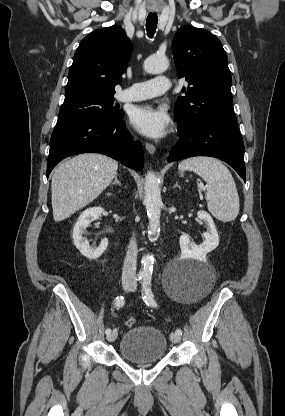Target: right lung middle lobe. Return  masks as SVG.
I'll return each mask as SVG.
<instances>
[{
	"label": "right lung middle lobe",
	"instance_id": "1",
	"mask_svg": "<svg viewBox=\"0 0 285 416\" xmlns=\"http://www.w3.org/2000/svg\"><path fill=\"white\" fill-rule=\"evenodd\" d=\"M114 97H76L64 100L58 121L76 119L113 120L123 118L124 112L114 106Z\"/></svg>",
	"mask_w": 285,
	"mask_h": 416
}]
</instances>
